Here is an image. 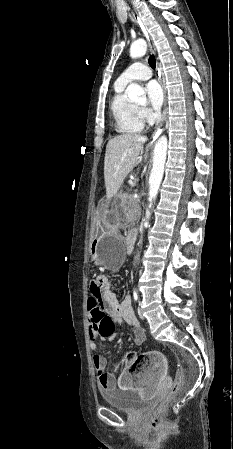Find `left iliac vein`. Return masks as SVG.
<instances>
[{
  "label": "left iliac vein",
  "mask_w": 233,
  "mask_h": 449,
  "mask_svg": "<svg viewBox=\"0 0 233 449\" xmlns=\"http://www.w3.org/2000/svg\"><path fill=\"white\" fill-rule=\"evenodd\" d=\"M138 314H139V316H140L141 319H144V315H143V312H142V310H141V302H139Z\"/></svg>",
  "instance_id": "4c4485c4"
}]
</instances>
